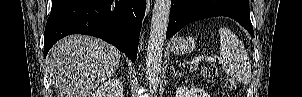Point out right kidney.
<instances>
[{
	"label": "right kidney",
	"instance_id": "obj_1",
	"mask_svg": "<svg viewBox=\"0 0 302 97\" xmlns=\"http://www.w3.org/2000/svg\"><path fill=\"white\" fill-rule=\"evenodd\" d=\"M109 92H113L116 97L123 96V84L119 79H109L101 85L91 97H106Z\"/></svg>",
	"mask_w": 302,
	"mask_h": 97
}]
</instances>
